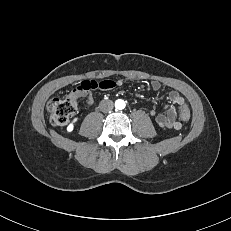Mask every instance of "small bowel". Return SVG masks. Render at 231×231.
I'll use <instances>...</instances> for the list:
<instances>
[{"mask_svg": "<svg viewBox=\"0 0 231 231\" xmlns=\"http://www.w3.org/2000/svg\"><path fill=\"white\" fill-rule=\"evenodd\" d=\"M122 84V81L117 82V85L119 86ZM115 86L116 82L109 79L103 81L84 80L76 86L71 94H73L77 99L79 98L84 100L87 105H92L93 98L90 95L91 89L99 88L108 90L114 88ZM151 88L153 90H159L161 88L160 82L153 80L151 82ZM169 98L172 104L165 105V113L156 115L155 110H151L150 115L156 116V123L160 127L179 130L181 128V123L177 120V114L179 111L181 112L183 108H188V105L184 98L176 91H171L169 93Z\"/></svg>", "mask_w": 231, "mask_h": 231, "instance_id": "1", "label": "small bowel"}]
</instances>
